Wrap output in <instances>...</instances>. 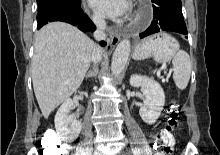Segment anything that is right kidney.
I'll return each instance as SVG.
<instances>
[{"label":"right kidney","mask_w":220,"mask_h":155,"mask_svg":"<svg viewBox=\"0 0 220 155\" xmlns=\"http://www.w3.org/2000/svg\"><path fill=\"white\" fill-rule=\"evenodd\" d=\"M71 99L65 100L55 115V128L57 134L64 142H73L80 134L82 124L80 121L73 120L69 112L73 107Z\"/></svg>","instance_id":"ca27d5eb"}]
</instances>
